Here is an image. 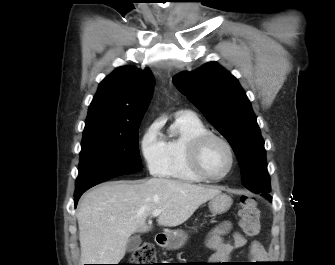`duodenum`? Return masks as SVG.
I'll list each match as a JSON object with an SVG mask.
<instances>
[{
	"instance_id": "duodenum-1",
	"label": "duodenum",
	"mask_w": 335,
	"mask_h": 265,
	"mask_svg": "<svg viewBox=\"0 0 335 265\" xmlns=\"http://www.w3.org/2000/svg\"><path fill=\"white\" fill-rule=\"evenodd\" d=\"M155 241L158 246H164L167 242V236L164 233L157 234Z\"/></svg>"
}]
</instances>
